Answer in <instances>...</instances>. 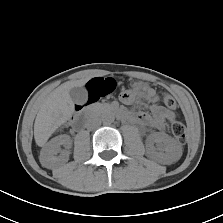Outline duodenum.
I'll use <instances>...</instances> for the list:
<instances>
[{
	"instance_id": "obj_1",
	"label": "duodenum",
	"mask_w": 223,
	"mask_h": 223,
	"mask_svg": "<svg viewBox=\"0 0 223 223\" xmlns=\"http://www.w3.org/2000/svg\"><path fill=\"white\" fill-rule=\"evenodd\" d=\"M112 109H113L114 113L117 115V117L120 118L121 120H129L130 119V115L127 112H125L124 110L116 108V107H114ZM90 115L91 114L88 113L86 116L76 117L73 120L72 127L74 129L83 128L84 125L88 122Z\"/></svg>"
}]
</instances>
